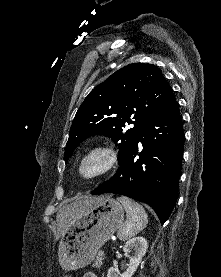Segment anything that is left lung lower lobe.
I'll return each instance as SVG.
<instances>
[{"label": "left lung lower lobe", "mask_w": 221, "mask_h": 277, "mask_svg": "<svg viewBox=\"0 0 221 277\" xmlns=\"http://www.w3.org/2000/svg\"><path fill=\"white\" fill-rule=\"evenodd\" d=\"M183 146L182 118L174 98L147 124L118 172L92 194L115 193L147 203L164 224L177 200Z\"/></svg>", "instance_id": "obj_1"}]
</instances>
